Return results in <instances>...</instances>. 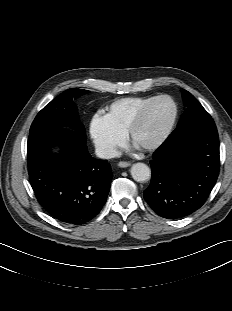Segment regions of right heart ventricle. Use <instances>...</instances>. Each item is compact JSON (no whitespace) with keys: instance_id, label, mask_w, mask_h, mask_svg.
<instances>
[{"instance_id":"e07e8e85","label":"right heart ventricle","mask_w":232,"mask_h":311,"mask_svg":"<svg viewBox=\"0 0 232 311\" xmlns=\"http://www.w3.org/2000/svg\"><path fill=\"white\" fill-rule=\"evenodd\" d=\"M152 98L154 96H132L116 99L107 105L104 117L116 132L124 135L139 109Z\"/></svg>"}]
</instances>
